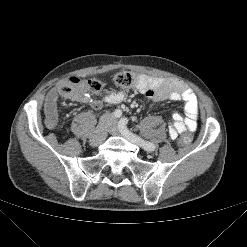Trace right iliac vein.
I'll list each match as a JSON object with an SVG mask.
<instances>
[{
	"instance_id": "obj_1",
	"label": "right iliac vein",
	"mask_w": 247,
	"mask_h": 247,
	"mask_svg": "<svg viewBox=\"0 0 247 247\" xmlns=\"http://www.w3.org/2000/svg\"><path fill=\"white\" fill-rule=\"evenodd\" d=\"M110 122L111 118L109 115H104L101 118L98 126L95 129L94 134L90 137L91 145L97 146L105 140Z\"/></svg>"
}]
</instances>
